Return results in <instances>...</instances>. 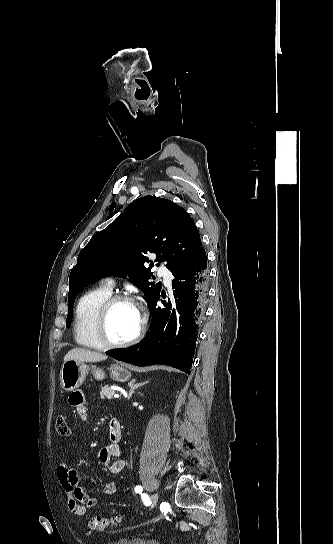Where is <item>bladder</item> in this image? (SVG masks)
I'll return each mask as SVG.
<instances>
[{
    "mask_svg": "<svg viewBox=\"0 0 333 544\" xmlns=\"http://www.w3.org/2000/svg\"><path fill=\"white\" fill-rule=\"evenodd\" d=\"M111 544H161V543L153 539L132 538V539H120L118 541L112 542Z\"/></svg>",
    "mask_w": 333,
    "mask_h": 544,
    "instance_id": "bladder-1",
    "label": "bladder"
}]
</instances>
